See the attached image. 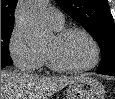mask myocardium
I'll return each instance as SVG.
<instances>
[{"mask_svg":"<svg viewBox=\"0 0 115 99\" xmlns=\"http://www.w3.org/2000/svg\"><path fill=\"white\" fill-rule=\"evenodd\" d=\"M72 33H80L89 40L93 49L92 61L89 64L84 65V66H78V67L64 66L57 63L50 53L45 52L44 56H45L46 62L52 70L57 71V72H65V73H80V72L89 71L95 68L97 64L99 63L100 48H99L98 42L96 41L94 36L86 29L81 28V27H69V28L61 29L57 31V33L55 34V37L58 40H61Z\"/></svg>","mask_w":115,"mask_h":99,"instance_id":"f54148a6","label":"myocardium"}]
</instances>
